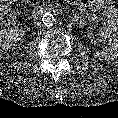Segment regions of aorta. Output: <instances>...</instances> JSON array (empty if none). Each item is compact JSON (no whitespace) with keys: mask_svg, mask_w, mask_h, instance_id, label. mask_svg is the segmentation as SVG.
<instances>
[{"mask_svg":"<svg viewBox=\"0 0 118 118\" xmlns=\"http://www.w3.org/2000/svg\"><path fill=\"white\" fill-rule=\"evenodd\" d=\"M42 22L45 26H52L56 22V19L53 14L45 13L42 17Z\"/></svg>","mask_w":118,"mask_h":118,"instance_id":"aorta-1","label":"aorta"}]
</instances>
